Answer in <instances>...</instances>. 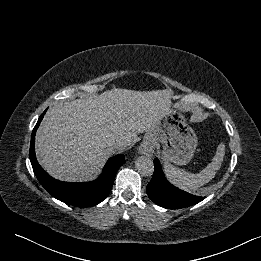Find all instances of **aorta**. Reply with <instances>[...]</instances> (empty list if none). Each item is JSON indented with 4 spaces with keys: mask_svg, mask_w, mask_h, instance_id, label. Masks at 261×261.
Listing matches in <instances>:
<instances>
[{
    "mask_svg": "<svg viewBox=\"0 0 261 261\" xmlns=\"http://www.w3.org/2000/svg\"><path fill=\"white\" fill-rule=\"evenodd\" d=\"M135 166H136L137 171L145 177L152 176V174L154 172L153 161L149 157H146V156L138 157L135 162Z\"/></svg>",
    "mask_w": 261,
    "mask_h": 261,
    "instance_id": "762f6f07",
    "label": "aorta"
}]
</instances>
